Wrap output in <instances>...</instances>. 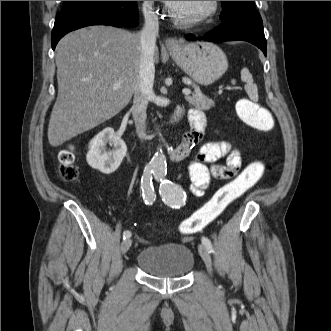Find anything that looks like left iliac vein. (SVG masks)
I'll return each instance as SVG.
<instances>
[{"label":"left iliac vein","instance_id":"left-iliac-vein-1","mask_svg":"<svg viewBox=\"0 0 331 331\" xmlns=\"http://www.w3.org/2000/svg\"><path fill=\"white\" fill-rule=\"evenodd\" d=\"M198 251H199V254L200 256L202 257L205 265H206V268H207V271L209 274H212V261H211V256L206 248L205 245L203 244H200L198 246Z\"/></svg>","mask_w":331,"mask_h":331}]
</instances>
